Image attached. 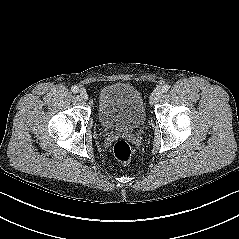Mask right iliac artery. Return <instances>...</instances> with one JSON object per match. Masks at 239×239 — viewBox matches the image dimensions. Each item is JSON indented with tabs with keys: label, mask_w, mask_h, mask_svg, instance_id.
Returning <instances> with one entry per match:
<instances>
[{
	"label": "right iliac artery",
	"mask_w": 239,
	"mask_h": 239,
	"mask_svg": "<svg viewBox=\"0 0 239 239\" xmlns=\"http://www.w3.org/2000/svg\"><path fill=\"white\" fill-rule=\"evenodd\" d=\"M71 90H72L73 93H78L79 88H78L77 86H73V87L71 88Z\"/></svg>",
	"instance_id": "obj_1"
}]
</instances>
